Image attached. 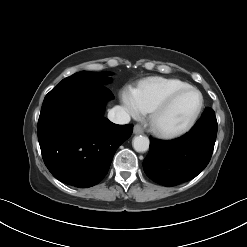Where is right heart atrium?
Wrapping results in <instances>:
<instances>
[{
	"label": "right heart atrium",
	"instance_id": "obj_1",
	"mask_svg": "<svg viewBox=\"0 0 247 247\" xmlns=\"http://www.w3.org/2000/svg\"><path fill=\"white\" fill-rule=\"evenodd\" d=\"M122 102L125 109L132 116H138L141 113H143L134 89L132 88L124 89L122 93Z\"/></svg>",
	"mask_w": 247,
	"mask_h": 247
}]
</instances>
